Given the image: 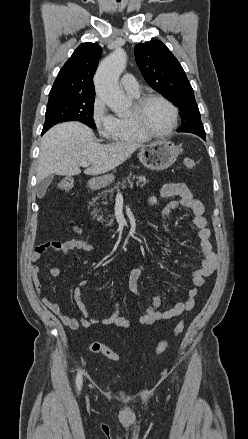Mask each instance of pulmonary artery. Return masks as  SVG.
<instances>
[{"label":"pulmonary artery","mask_w":248,"mask_h":439,"mask_svg":"<svg viewBox=\"0 0 248 439\" xmlns=\"http://www.w3.org/2000/svg\"><path fill=\"white\" fill-rule=\"evenodd\" d=\"M121 85L123 89L132 94V95H138L139 94V85L136 80V78L132 74H125L121 78Z\"/></svg>","instance_id":"e3ab8cb5"}]
</instances>
